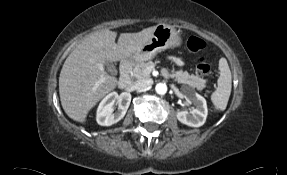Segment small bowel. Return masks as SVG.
Here are the masks:
<instances>
[{
	"label": "small bowel",
	"mask_w": 287,
	"mask_h": 175,
	"mask_svg": "<svg viewBox=\"0 0 287 175\" xmlns=\"http://www.w3.org/2000/svg\"><path fill=\"white\" fill-rule=\"evenodd\" d=\"M173 60L174 63H176L177 65H182L183 61L182 59L178 58V57H172L171 58Z\"/></svg>",
	"instance_id": "1"
}]
</instances>
